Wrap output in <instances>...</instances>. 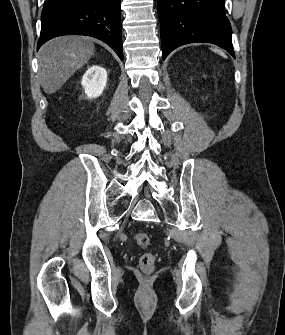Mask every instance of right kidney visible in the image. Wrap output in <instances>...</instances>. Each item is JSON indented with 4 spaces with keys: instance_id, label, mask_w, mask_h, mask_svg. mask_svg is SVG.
<instances>
[{
    "instance_id": "obj_1",
    "label": "right kidney",
    "mask_w": 285,
    "mask_h": 335,
    "mask_svg": "<svg viewBox=\"0 0 285 335\" xmlns=\"http://www.w3.org/2000/svg\"><path fill=\"white\" fill-rule=\"evenodd\" d=\"M87 98L101 96L107 84V72L100 66H92L85 72L81 82Z\"/></svg>"
}]
</instances>
